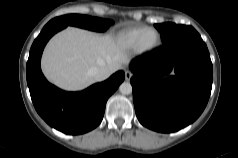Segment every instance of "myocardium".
I'll return each mask as SVG.
<instances>
[{
	"label": "myocardium",
	"instance_id": "obj_1",
	"mask_svg": "<svg viewBox=\"0 0 238 158\" xmlns=\"http://www.w3.org/2000/svg\"><path fill=\"white\" fill-rule=\"evenodd\" d=\"M150 31H153L156 33L157 39L152 45H145L144 38L146 34ZM160 44V34L159 32L154 28H146L139 36L136 44V48L141 52H149L154 50L158 45Z\"/></svg>",
	"mask_w": 238,
	"mask_h": 158
}]
</instances>
